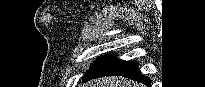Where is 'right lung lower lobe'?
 Segmentation results:
<instances>
[{
  "instance_id": "right-lung-lower-lobe-1",
  "label": "right lung lower lobe",
  "mask_w": 205,
  "mask_h": 87,
  "mask_svg": "<svg viewBox=\"0 0 205 87\" xmlns=\"http://www.w3.org/2000/svg\"><path fill=\"white\" fill-rule=\"evenodd\" d=\"M138 66L136 61L120 60L114 54H109L85 74L82 82L102 76L122 75L149 86L151 80L140 74Z\"/></svg>"
}]
</instances>
